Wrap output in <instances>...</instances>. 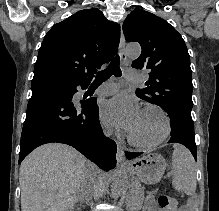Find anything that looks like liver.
Wrapping results in <instances>:
<instances>
[{
    "label": "liver",
    "mask_w": 219,
    "mask_h": 211,
    "mask_svg": "<svg viewBox=\"0 0 219 211\" xmlns=\"http://www.w3.org/2000/svg\"><path fill=\"white\" fill-rule=\"evenodd\" d=\"M99 171L71 145L44 143L20 165L22 211H71L87 175H93V193Z\"/></svg>",
    "instance_id": "obj_1"
}]
</instances>
